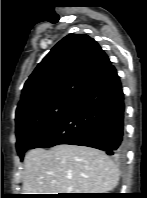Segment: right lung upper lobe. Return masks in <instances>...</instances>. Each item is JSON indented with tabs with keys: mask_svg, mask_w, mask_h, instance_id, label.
I'll return each instance as SVG.
<instances>
[{
	"mask_svg": "<svg viewBox=\"0 0 147 198\" xmlns=\"http://www.w3.org/2000/svg\"><path fill=\"white\" fill-rule=\"evenodd\" d=\"M111 65L94 39L69 34L51 49L26 81L16 119L45 103L77 100Z\"/></svg>",
	"mask_w": 147,
	"mask_h": 198,
	"instance_id": "1",
	"label": "right lung upper lobe"
}]
</instances>
